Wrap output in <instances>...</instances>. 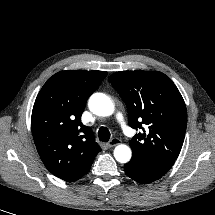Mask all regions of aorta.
<instances>
[{
    "instance_id": "1",
    "label": "aorta",
    "mask_w": 215,
    "mask_h": 215,
    "mask_svg": "<svg viewBox=\"0 0 215 215\" xmlns=\"http://www.w3.org/2000/svg\"><path fill=\"white\" fill-rule=\"evenodd\" d=\"M90 110L99 116H110L114 112L111 99L103 93H94L89 99ZM114 157L120 163H127L131 158V150L127 145H118L114 150Z\"/></svg>"
}]
</instances>
